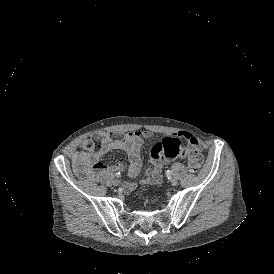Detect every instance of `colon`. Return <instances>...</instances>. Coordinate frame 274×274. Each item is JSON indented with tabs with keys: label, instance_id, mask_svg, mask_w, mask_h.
<instances>
[{
	"label": "colon",
	"instance_id": "1",
	"mask_svg": "<svg viewBox=\"0 0 274 274\" xmlns=\"http://www.w3.org/2000/svg\"><path fill=\"white\" fill-rule=\"evenodd\" d=\"M105 138L104 133H93L83 141L82 147L87 154L97 156L104 148ZM188 160L191 167L198 168L202 164V155L198 151H192L188 155Z\"/></svg>",
	"mask_w": 274,
	"mask_h": 274
}]
</instances>
